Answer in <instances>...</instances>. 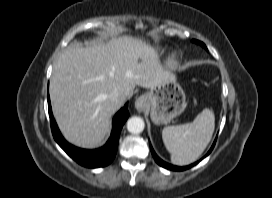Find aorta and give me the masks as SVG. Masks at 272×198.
I'll return each instance as SVG.
<instances>
[{"label": "aorta", "mask_w": 272, "mask_h": 198, "mask_svg": "<svg viewBox=\"0 0 272 198\" xmlns=\"http://www.w3.org/2000/svg\"><path fill=\"white\" fill-rule=\"evenodd\" d=\"M144 121L140 117H131L127 121V129L129 132L138 134L144 130Z\"/></svg>", "instance_id": "1"}]
</instances>
